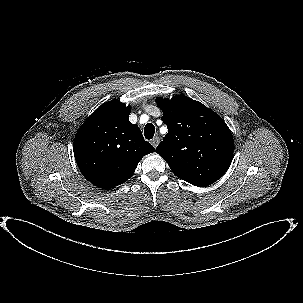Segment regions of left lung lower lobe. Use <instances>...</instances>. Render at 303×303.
<instances>
[{
	"instance_id": "left-lung-lower-lobe-1",
	"label": "left lung lower lobe",
	"mask_w": 303,
	"mask_h": 303,
	"mask_svg": "<svg viewBox=\"0 0 303 303\" xmlns=\"http://www.w3.org/2000/svg\"><path fill=\"white\" fill-rule=\"evenodd\" d=\"M207 185H209V184H196L195 186H200V187H202V186H207Z\"/></svg>"
}]
</instances>
